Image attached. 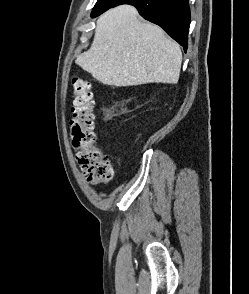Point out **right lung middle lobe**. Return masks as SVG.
I'll return each mask as SVG.
<instances>
[{"instance_id":"obj_1","label":"right lung middle lobe","mask_w":249,"mask_h":294,"mask_svg":"<svg viewBox=\"0 0 249 294\" xmlns=\"http://www.w3.org/2000/svg\"><path fill=\"white\" fill-rule=\"evenodd\" d=\"M120 0H98L97 3L95 4L92 15L112 6L113 4L119 2Z\"/></svg>"}]
</instances>
